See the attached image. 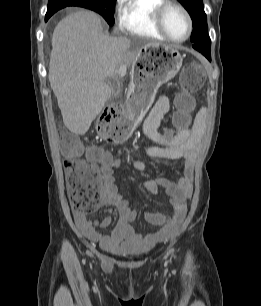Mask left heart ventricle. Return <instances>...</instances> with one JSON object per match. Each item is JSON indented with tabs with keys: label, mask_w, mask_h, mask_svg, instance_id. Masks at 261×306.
<instances>
[{
	"label": "left heart ventricle",
	"mask_w": 261,
	"mask_h": 306,
	"mask_svg": "<svg viewBox=\"0 0 261 306\" xmlns=\"http://www.w3.org/2000/svg\"><path fill=\"white\" fill-rule=\"evenodd\" d=\"M164 25L175 39H182L187 34V21L183 13L176 8H169L164 15Z\"/></svg>",
	"instance_id": "obj_1"
}]
</instances>
